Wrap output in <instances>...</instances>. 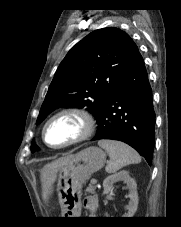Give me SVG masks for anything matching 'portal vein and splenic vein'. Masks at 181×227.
Here are the masks:
<instances>
[{
  "label": "portal vein and splenic vein",
  "instance_id": "obj_1",
  "mask_svg": "<svg viewBox=\"0 0 181 227\" xmlns=\"http://www.w3.org/2000/svg\"><path fill=\"white\" fill-rule=\"evenodd\" d=\"M97 183V180L95 178L91 179V184L95 185Z\"/></svg>",
  "mask_w": 181,
  "mask_h": 227
}]
</instances>
